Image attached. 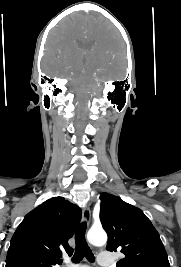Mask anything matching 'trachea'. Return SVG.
<instances>
[{"instance_id": "3493384b", "label": "trachea", "mask_w": 181, "mask_h": 267, "mask_svg": "<svg viewBox=\"0 0 181 267\" xmlns=\"http://www.w3.org/2000/svg\"><path fill=\"white\" fill-rule=\"evenodd\" d=\"M85 232H86V222L81 223L75 232V254L73 255L72 261L74 263H79L84 257L87 258L88 261L94 262L95 257L89 248L86 239H85Z\"/></svg>"}]
</instances>
